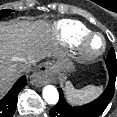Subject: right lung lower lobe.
Listing matches in <instances>:
<instances>
[{
    "instance_id": "obj_1",
    "label": "right lung lower lobe",
    "mask_w": 117,
    "mask_h": 117,
    "mask_svg": "<svg viewBox=\"0 0 117 117\" xmlns=\"http://www.w3.org/2000/svg\"><path fill=\"white\" fill-rule=\"evenodd\" d=\"M26 84V76L20 77L13 85L11 90L6 94V96L0 100V117L13 116L17 105L18 93L23 89Z\"/></svg>"
}]
</instances>
